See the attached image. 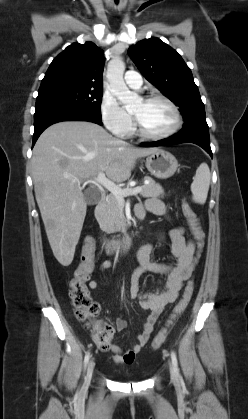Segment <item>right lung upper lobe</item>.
Here are the masks:
<instances>
[{
    "instance_id": "right-lung-upper-lobe-1",
    "label": "right lung upper lobe",
    "mask_w": 248,
    "mask_h": 419,
    "mask_svg": "<svg viewBox=\"0 0 248 419\" xmlns=\"http://www.w3.org/2000/svg\"><path fill=\"white\" fill-rule=\"evenodd\" d=\"M103 65V51L94 43H73L54 58L40 89L59 86L102 89Z\"/></svg>"
}]
</instances>
